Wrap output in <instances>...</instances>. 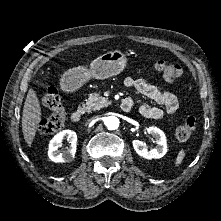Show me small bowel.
<instances>
[{
    "instance_id": "c3829d8e",
    "label": "small bowel",
    "mask_w": 221,
    "mask_h": 221,
    "mask_svg": "<svg viewBox=\"0 0 221 221\" xmlns=\"http://www.w3.org/2000/svg\"><path fill=\"white\" fill-rule=\"evenodd\" d=\"M124 85L127 88H132L138 91L145 97L163 106L167 115L174 114L179 107V100L175 94L149 83L144 78L127 77L124 80ZM123 102H128L132 108L134 99L132 97H127ZM139 112L144 117L155 120L161 119L164 116V110L159 107L150 106L147 103H143L139 107Z\"/></svg>"
}]
</instances>
